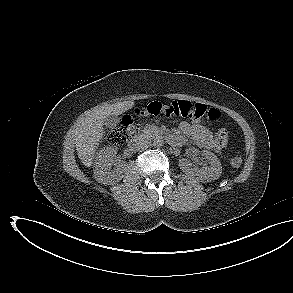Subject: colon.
Wrapping results in <instances>:
<instances>
[{"label":"colon","mask_w":293,"mask_h":293,"mask_svg":"<svg viewBox=\"0 0 293 293\" xmlns=\"http://www.w3.org/2000/svg\"><path fill=\"white\" fill-rule=\"evenodd\" d=\"M136 115L142 118L184 117L193 120L207 118L210 121H216L221 114L217 109H209L201 103L175 100L170 104L152 102L146 109L137 111ZM137 130L138 124L135 121V117L126 115L107 131V137L114 144H124L135 135ZM227 141L228 131L225 128L218 129L215 138L217 147L222 149L227 144ZM241 163L242 159L238 156L230 159V164L234 168L240 167Z\"/></svg>","instance_id":"obj_1"}]
</instances>
